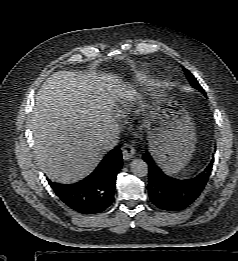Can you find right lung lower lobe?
Segmentation results:
<instances>
[{"instance_id":"98d812e1","label":"right lung lower lobe","mask_w":238,"mask_h":261,"mask_svg":"<svg viewBox=\"0 0 238 261\" xmlns=\"http://www.w3.org/2000/svg\"><path fill=\"white\" fill-rule=\"evenodd\" d=\"M121 166L122 154L116 147L89 176L77 183L59 184L47 180L56 195L71 209L81 214H97L112 204L116 176Z\"/></svg>"}]
</instances>
